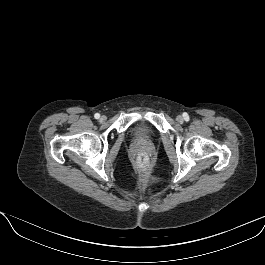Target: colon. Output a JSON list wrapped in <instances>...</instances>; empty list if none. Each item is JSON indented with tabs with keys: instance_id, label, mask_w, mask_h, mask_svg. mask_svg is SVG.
<instances>
[{
	"instance_id": "1",
	"label": "colon",
	"mask_w": 265,
	"mask_h": 265,
	"mask_svg": "<svg viewBox=\"0 0 265 265\" xmlns=\"http://www.w3.org/2000/svg\"><path fill=\"white\" fill-rule=\"evenodd\" d=\"M149 164V160L147 158L146 155L141 154L137 157V165L141 168V169H146L148 167Z\"/></svg>"
}]
</instances>
